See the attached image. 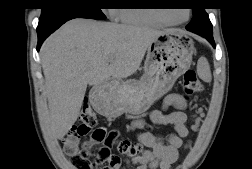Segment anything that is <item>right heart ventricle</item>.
Listing matches in <instances>:
<instances>
[{"label": "right heart ventricle", "mask_w": 252, "mask_h": 169, "mask_svg": "<svg viewBox=\"0 0 252 169\" xmlns=\"http://www.w3.org/2000/svg\"><path fill=\"white\" fill-rule=\"evenodd\" d=\"M116 20L126 25L161 26L162 23L154 20L141 9H116Z\"/></svg>", "instance_id": "right-heart-ventricle-1"}]
</instances>
